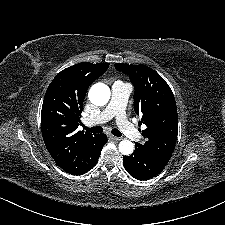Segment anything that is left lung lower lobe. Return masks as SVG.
<instances>
[{
	"mask_svg": "<svg viewBox=\"0 0 225 225\" xmlns=\"http://www.w3.org/2000/svg\"><path fill=\"white\" fill-rule=\"evenodd\" d=\"M169 159L156 156L135 143V151L123 157L126 171L135 179L148 180L160 174Z\"/></svg>",
	"mask_w": 225,
	"mask_h": 225,
	"instance_id": "1",
	"label": "left lung lower lobe"
}]
</instances>
